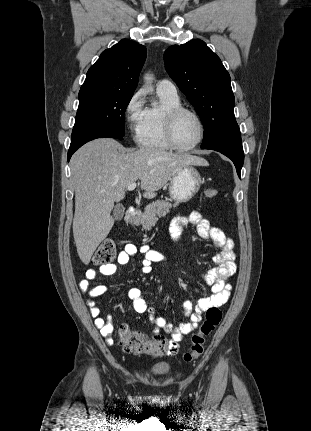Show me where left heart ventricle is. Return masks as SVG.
Listing matches in <instances>:
<instances>
[{
  "label": "left heart ventricle",
  "instance_id": "1",
  "mask_svg": "<svg viewBox=\"0 0 311 431\" xmlns=\"http://www.w3.org/2000/svg\"><path fill=\"white\" fill-rule=\"evenodd\" d=\"M201 134L198 119L190 113H183L175 126V137L180 146L187 147L194 144Z\"/></svg>",
  "mask_w": 311,
  "mask_h": 431
}]
</instances>
